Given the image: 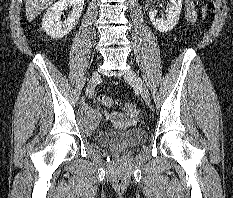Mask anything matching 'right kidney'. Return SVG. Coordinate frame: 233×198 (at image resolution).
Here are the masks:
<instances>
[{
	"label": "right kidney",
	"instance_id": "ca27d5eb",
	"mask_svg": "<svg viewBox=\"0 0 233 198\" xmlns=\"http://www.w3.org/2000/svg\"><path fill=\"white\" fill-rule=\"evenodd\" d=\"M84 0H59L48 8L42 19V29L52 38H62L69 34L77 25L83 10ZM72 11L65 21H61L62 11L66 7Z\"/></svg>",
	"mask_w": 233,
	"mask_h": 198
}]
</instances>
